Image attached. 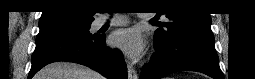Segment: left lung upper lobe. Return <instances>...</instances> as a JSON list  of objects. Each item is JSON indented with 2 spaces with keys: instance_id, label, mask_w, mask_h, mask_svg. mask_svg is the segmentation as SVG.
<instances>
[{
  "instance_id": "obj_1",
  "label": "left lung upper lobe",
  "mask_w": 255,
  "mask_h": 79,
  "mask_svg": "<svg viewBox=\"0 0 255 79\" xmlns=\"http://www.w3.org/2000/svg\"><path fill=\"white\" fill-rule=\"evenodd\" d=\"M158 3L160 8L166 10V17L170 21L159 25V27H166L167 30L157 29L155 31L154 42L156 44L166 45L185 33L213 34L210 14L201 11L181 12L179 3L172 0H161Z\"/></svg>"
}]
</instances>
